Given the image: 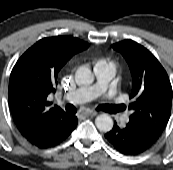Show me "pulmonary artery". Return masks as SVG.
I'll list each match as a JSON object with an SVG mask.
<instances>
[{
	"label": "pulmonary artery",
	"mask_w": 173,
	"mask_h": 170,
	"mask_svg": "<svg viewBox=\"0 0 173 170\" xmlns=\"http://www.w3.org/2000/svg\"><path fill=\"white\" fill-rule=\"evenodd\" d=\"M114 75L115 69L112 66L104 61L98 62L95 66V82L69 92V100L72 103H84L98 98L108 90ZM120 119L126 120L127 115H121Z\"/></svg>",
	"instance_id": "pulmonary-artery-1"
}]
</instances>
